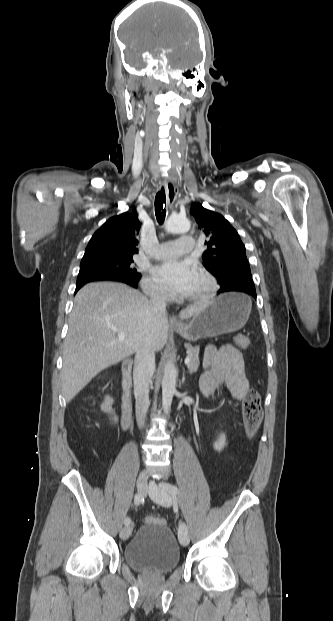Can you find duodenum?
Masks as SVG:
<instances>
[{
    "instance_id": "duodenum-1",
    "label": "duodenum",
    "mask_w": 333,
    "mask_h": 621,
    "mask_svg": "<svg viewBox=\"0 0 333 621\" xmlns=\"http://www.w3.org/2000/svg\"><path fill=\"white\" fill-rule=\"evenodd\" d=\"M122 419L121 424L124 430H128L132 424V361L127 360L122 366Z\"/></svg>"
}]
</instances>
